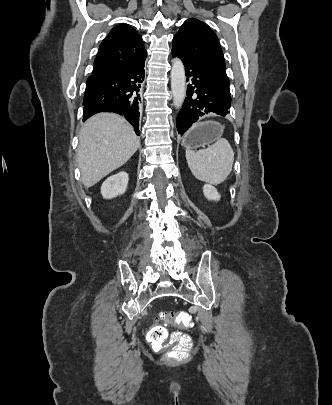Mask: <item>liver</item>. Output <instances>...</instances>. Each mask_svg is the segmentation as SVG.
<instances>
[{
	"instance_id": "liver-1",
	"label": "liver",
	"mask_w": 332,
	"mask_h": 405,
	"mask_svg": "<svg viewBox=\"0 0 332 405\" xmlns=\"http://www.w3.org/2000/svg\"><path fill=\"white\" fill-rule=\"evenodd\" d=\"M140 147L131 125L115 113H99L79 134L78 166L89 188L124 165Z\"/></svg>"
}]
</instances>
